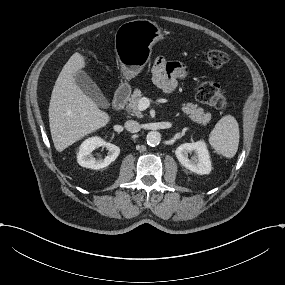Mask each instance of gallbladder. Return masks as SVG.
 I'll use <instances>...</instances> for the list:
<instances>
[{
    "label": "gallbladder",
    "instance_id": "gallbladder-1",
    "mask_svg": "<svg viewBox=\"0 0 285 285\" xmlns=\"http://www.w3.org/2000/svg\"><path fill=\"white\" fill-rule=\"evenodd\" d=\"M75 81L77 86L91 98L98 107L107 109L110 103L103 95L97 84L88 76L84 71L78 70L75 75Z\"/></svg>",
    "mask_w": 285,
    "mask_h": 285
}]
</instances>
